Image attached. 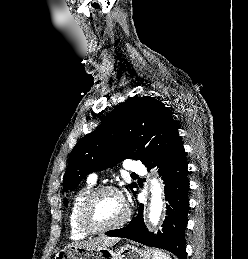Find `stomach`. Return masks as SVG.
Wrapping results in <instances>:
<instances>
[{
  "label": "stomach",
  "mask_w": 248,
  "mask_h": 259,
  "mask_svg": "<svg viewBox=\"0 0 248 259\" xmlns=\"http://www.w3.org/2000/svg\"><path fill=\"white\" fill-rule=\"evenodd\" d=\"M154 251L139 249L131 244H125L115 250L110 247L88 249L69 246L60 250L55 259H154Z\"/></svg>",
  "instance_id": "1"
}]
</instances>
